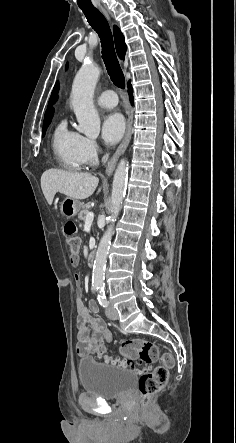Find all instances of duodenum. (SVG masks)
Masks as SVG:
<instances>
[{
    "instance_id": "duodenum-1",
    "label": "duodenum",
    "mask_w": 236,
    "mask_h": 443,
    "mask_svg": "<svg viewBox=\"0 0 236 443\" xmlns=\"http://www.w3.org/2000/svg\"><path fill=\"white\" fill-rule=\"evenodd\" d=\"M95 261V254L94 253H90L88 255V260H87V264L89 267H92Z\"/></svg>"
}]
</instances>
